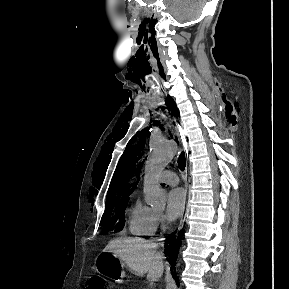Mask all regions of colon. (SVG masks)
Returning a JSON list of instances; mask_svg holds the SVG:
<instances>
[{
  "mask_svg": "<svg viewBox=\"0 0 289 289\" xmlns=\"http://www.w3.org/2000/svg\"><path fill=\"white\" fill-rule=\"evenodd\" d=\"M86 289H106L103 279L99 277H92L88 280Z\"/></svg>",
  "mask_w": 289,
  "mask_h": 289,
  "instance_id": "1",
  "label": "colon"
}]
</instances>
